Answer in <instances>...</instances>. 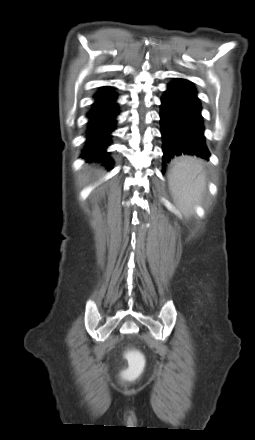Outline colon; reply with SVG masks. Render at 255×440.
I'll use <instances>...</instances> for the list:
<instances>
[{
	"mask_svg": "<svg viewBox=\"0 0 255 440\" xmlns=\"http://www.w3.org/2000/svg\"><path fill=\"white\" fill-rule=\"evenodd\" d=\"M125 357L131 363L129 369L125 373V376L128 379H133L142 370V357L140 353L135 349L128 350L125 354Z\"/></svg>",
	"mask_w": 255,
	"mask_h": 440,
	"instance_id": "colon-1",
	"label": "colon"
}]
</instances>
